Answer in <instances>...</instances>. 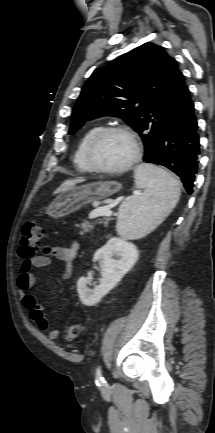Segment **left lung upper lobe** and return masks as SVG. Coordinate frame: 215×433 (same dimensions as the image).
I'll use <instances>...</instances> for the list:
<instances>
[{
  "instance_id": "left-lung-upper-lobe-1",
  "label": "left lung upper lobe",
  "mask_w": 215,
  "mask_h": 433,
  "mask_svg": "<svg viewBox=\"0 0 215 433\" xmlns=\"http://www.w3.org/2000/svg\"><path fill=\"white\" fill-rule=\"evenodd\" d=\"M183 83L176 61L162 47L145 43L93 72L73 109L69 134L86 120L121 117L140 133L149 158Z\"/></svg>"
}]
</instances>
